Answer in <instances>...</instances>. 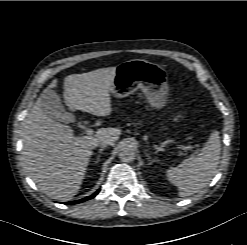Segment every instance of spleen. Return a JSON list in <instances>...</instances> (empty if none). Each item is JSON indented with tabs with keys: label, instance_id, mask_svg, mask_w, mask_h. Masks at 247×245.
<instances>
[{
	"label": "spleen",
	"instance_id": "spleen-1",
	"mask_svg": "<svg viewBox=\"0 0 247 245\" xmlns=\"http://www.w3.org/2000/svg\"><path fill=\"white\" fill-rule=\"evenodd\" d=\"M221 154L218 131H213L196 156L167 170L168 180L179 188L180 196L193 195L205 188L216 174Z\"/></svg>",
	"mask_w": 247,
	"mask_h": 245
}]
</instances>
